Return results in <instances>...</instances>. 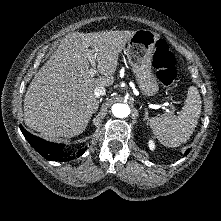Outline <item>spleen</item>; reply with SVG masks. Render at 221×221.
I'll return each mask as SVG.
<instances>
[{
	"label": "spleen",
	"instance_id": "3e777b00",
	"mask_svg": "<svg viewBox=\"0 0 221 221\" xmlns=\"http://www.w3.org/2000/svg\"><path fill=\"white\" fill-rule=\"evenodd\" d=\"M201 103L197 88L191 86L177 117L161 115L150 119L149 125L155 137L166 147H178L187 142L197 126Z\"/></svg>",
	"mask_w": 221,
	"mask_h": 221
}]
</instances>
